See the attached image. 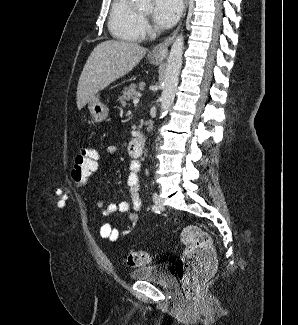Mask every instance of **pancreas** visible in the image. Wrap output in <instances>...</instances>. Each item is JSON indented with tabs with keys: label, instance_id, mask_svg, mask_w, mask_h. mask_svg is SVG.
Here are the masks:
<instances>
[{
	"label": "pancreas",
	"instance_id": "cf45deb5",
	"mask_svg": "<svg viewBox=\"0 0 298 325\" xmlns=\"http://www.w3.org/2000/svg\"><path fill=\"white\" fill-rule=\"evenodd\" d=\"M136 86H140V82H137V84H129V86H124L123 90H121V94L118 96L117 100L121 102L122 106H127L129 100L136 98L139 92V90H136Z\"/></svg>",
	"mask_w": 298,
	"mask_h": 325
}]
</instances>
